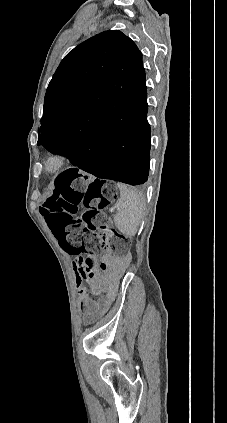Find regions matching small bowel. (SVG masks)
I'll return each mask as SVG.
<instances>
[{
    "label": "small bowel",
    "mask_w": 227,
    "mask_h": 423,
    "mask_svg": "<svg viewBox=\"0 0 227 423\" xmlns=\"http://www.w3.org/2000/svg\"><path fill=\"white\" fill-rule=\"evenodd\" d=\"M124 266V262H117L112 257L106 256L100 264V269L104 272H108V279H112L116 274L121 272ZM77 283L80 309L84 322L89 324L96 321L106 313L111 304L113 296L110 294L105 299L94 301L87 295L86 289L80 286V282L77 281Z\"/></svg>",
    "instance_id": "1"
}]
</instances>
